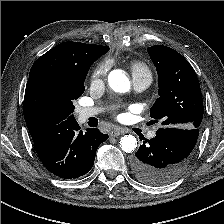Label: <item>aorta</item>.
<instances>
[{
    "label": "aorta",
    "instance_id": "1",
    "mask_svg": "<svg viewBox=\"0 0 224 224\" xmlns=\"http://www.w3.org/2000/svg\"><path fill=\"white\" fill-rule=\"evenodd\" d=\"M108 83L115 92L125 93L130 89V81L125 72L120 69L109 73ZM120 147L124 152H133L137 147V139L133 135H124L120 140Z\"/></svg>",
    "mask_w": 224,
    "mask_h": 224
}]
</instances>
